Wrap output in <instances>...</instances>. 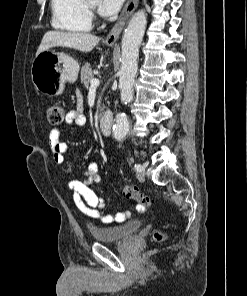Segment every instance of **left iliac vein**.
Segmentation results:
<instances>
[{"instance_id": "obj_1", "label": "left iliac vein", "mask_w": 247, "mask_h": 296, "mask_svg": "<svg viewBox=\"0 0 247 296\" xmlns=\"http://www.w3.org/2000/svg\"><path fill=\"white\" fill-rule=\"evenodd\" d=\"M137 178L139 181H144V179H145V168L144 167H142L141 171H138Z\"/></svg>"}]
</instances>
